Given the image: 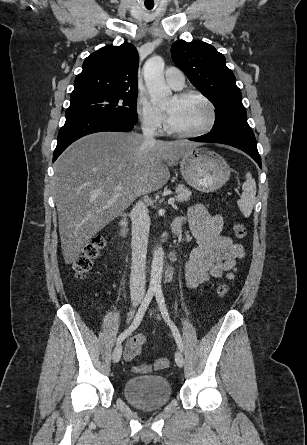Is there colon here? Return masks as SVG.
I'll use <instances>...</instances> for the list:
<instances>
[{"instance_id":"colon-1","label":"colon","mask_w":307,"mask_h":445,"mask_svg":"<svg viewBox=\"0 0 307 445\" xmlns=\"http://www.w3.org/2000/svg\"><path fill=\"white\" fill-rule=\"evenodd\" d=\"M234 235L241 239L246 236L247 230L243 223H235L233 226ZM105 237L97 236L94 238L83 250L81 255L74 261V272L78 277H83L89 273L96 260L99 258L102 249L105 246ZM229 286L226 282H222L217 287V294L220 298H223L228 293ZM170 361L167 358H160L154 361L150 365H137L133 367V371L136 373H144L152 370H162L168 368Z\"/></svg>"}]
</instances>
